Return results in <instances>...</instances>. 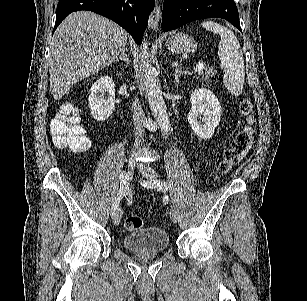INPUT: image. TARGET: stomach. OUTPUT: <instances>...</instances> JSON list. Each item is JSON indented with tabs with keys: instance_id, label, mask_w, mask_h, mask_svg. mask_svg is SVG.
<instances>
[{
	"instance_id": "1",
	"label": "stomach",
	"mask_w": 307,
	"mask_h": 301,
	"mask_svg": "<svg viewBox=\"0 0 307 301\" xmlns=\"http://www.w3.org/2000/svg\"><path fill=\"white\" fill-rule=\"evenodd\" d=\"M171 52H195L197 42L185 32H172L165 42Z\"/></svg>"
}]
</instances>
